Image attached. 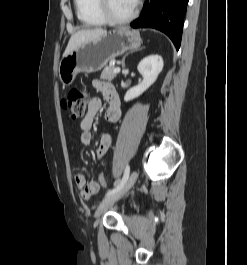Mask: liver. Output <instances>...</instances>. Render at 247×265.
Listing matches in <instances>:
<instances>
[{"label": "liver", "mask_w": 247, "mask_h": 265, "mask_svg": "<svg viewBox=\"0 0 247 265\" xmlns=\"http://www.w3.org/2000/svg\"><path fill=\"white\" fill-rule=\"evenodd\" d=\"M106 33V30L97 28L91 30H81L73 34L68 42V45L63 53V57L70 54L74 49H76L81 44L94 40L101 35Z\"/></svg>", "instance_id": "1"}]
</instances>
